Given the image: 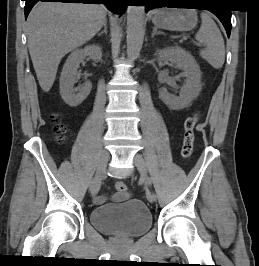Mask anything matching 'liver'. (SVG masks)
Instances as JSON below:
<instances>
[{
	"mask_svg": "<svg viewBox=\"0 0 259 266\" xmlns=\"http://www.w3.org/2000/svg\"><path fill=\"white\" fill-rule=\"evenodd\" d=\"M103 5L38 2L27 19L28 48L41 89L48 92L61 59L92 39L106 20Z\"/></svg>",
	"mask_w": 259,
	"mask_h": 266,
	"instance_id": "1",
	"label": "liver"
}]
</instances>
